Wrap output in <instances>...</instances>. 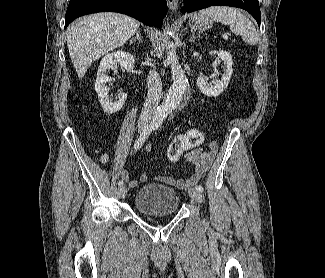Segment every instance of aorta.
I'll use <instances>...</instances> for the list:
<instances>
[{
	"mask_svg": "<svg viewBox=\"0 0 325 278\" xmlns=\"http://www.w3.org/2000/svg\"><path fill=\"white\" fill-rule=\"evenodd\" d=\"M164 33L171 34L167 27H165ZM166 54L167 61L171 64L173 83L169 88L164 102L157 107L155 111L153 119L159 123H162L170 112L179 108L188 89V79L181 65L179 64L178 56L173 43L168 44Z\"/></svg>",
	"mask_w": 325,
	"mask_h": 278,
	"instance_id": "aorta-1",
	"label": "aorta"
}]
</instances>
